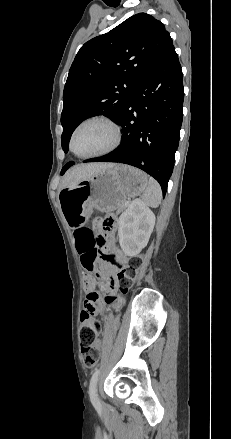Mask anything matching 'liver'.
Listing matches in <instances>:
<instances>
[{"label": "liver", "instance_id": "1", "mask_svg": "<svg viewBox=\"0 0 231 439\" xmlns=\"http://www.w3.org/2000/svg\"><path fill=\"white\" fill-rule=\"evenodd\" d=\"M114 165V163H90L73 166L65 173L62 179L61 189L73 182L85 180L101 171L113 167Z\"/></svg>", "mask_w": 231, "mask_h": 439}]
</instances>
